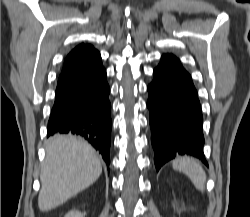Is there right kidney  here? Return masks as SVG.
Segmentation results:
<instances>
[{"label": "right kidney", "mask_w": 250, "mask_h": 217, "mask_svg": "<svg viewBox=\"0 0 250 217\" xmlns=\"http://www.w3.org/2000/svg\"><path fill=\"white\" fill-rule=\"evenodd\" d=\"M64 217H85V213L77 210H71Z\"/></svg>", "instance_id": "obj_1"}]
</instances>
